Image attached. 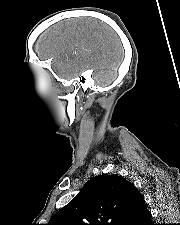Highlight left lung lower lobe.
<instances>
[{
  "label": "left lung lower lobe",
  "mask_w": 180,
  "mask_h": 225,
  "mask_svg": "<svg viewBox=\"0 0 180 225\" xmlns=\"http://www.w3.org/2000/svg\"><path fill=\"white\" fill-rule=\"evenodd\" d=\"M124 225H154L151 220V213L147 207H143L139 212L129 218Z\"/></svg>",
  "instance_id": "obj_1"
}]
</instances>
